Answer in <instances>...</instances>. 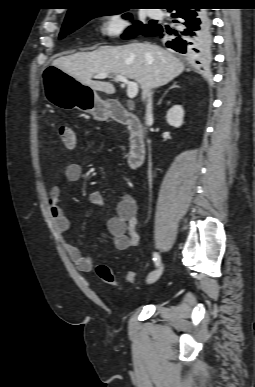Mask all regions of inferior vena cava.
I'll return each instance as SVG.
<instances>
[{
    "label": "inferior vena cava",
    "mask_w": 255,
    "mask_h": 387,
    "mask_svg": "<svg viewBox=\"0 0 255 387\" xmlns=\"http://www.w3.org/2000/svg\"><path fill=\"white\" fill-rule=\"evenodd\" d=\"M147 105H146V120H151L152 119V92H149L147 94Z\"/></svg>",
    "instance_id": "1"
}]
</instances>
